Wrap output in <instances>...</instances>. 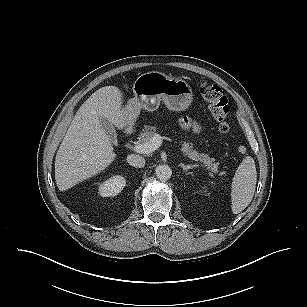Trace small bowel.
I'll return each instance as SVG.
<instances>
[{"label": "small bowel", "instance_id": "small-bowel-1", "mask_svg": "<svg viewBox=\"0 0 307 307\" xmlns=\"http://www.w3.org/2000/svg\"><path fill=\"white\" fill-rule=\"evenodd\" d=\"M183 125L185 126V127H188L189 125L187 124V122H185V121H183ZM196 129V128H195Z\"/></svg>", "mask_w": 307, "mask_h": 307}]
</instances>
